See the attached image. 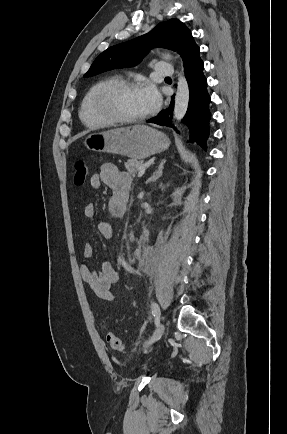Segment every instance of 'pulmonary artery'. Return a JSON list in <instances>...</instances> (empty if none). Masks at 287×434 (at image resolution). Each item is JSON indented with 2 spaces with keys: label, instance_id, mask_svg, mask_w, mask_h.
<instances>
[{
  "label": "pulmonary artery",
  "instance_id": "pulmonary-artery-1",
  "mask_svg": "<svg viewBox=\"0 0 287 434\" xmlns=\"http://www.w3.org/2000/svg\"><path fill=\"white\" fill-rule=\"evenodd\" d=\"M155 74L170 77L174 75V68L170 64L158 63L155 66Z\"/></svg>",
  "mask_w": 287,
  "mask_h": 434
}]
</instances>
